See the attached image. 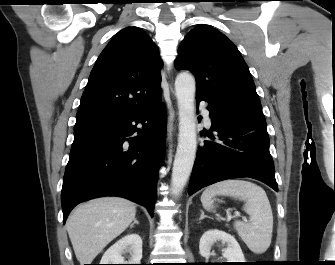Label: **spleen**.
Wrapping results in <instances>:
<instances>
[{"label": "spleen", "instance_id": "spleen-1", "mask_svg": "<svg viewBox=\"0 0 335 265\" xmlns=\"http://www.w3.org/2000/svg\"><path fill=\"white\" fill-rule=\"evenodd\" d=\"M230 196L245 202L244 211L250 216V223L235 222L238 235L255 254L264 253L271 244L273 231V214L266 192L245 180H225L209 186L201 195V202L206 210L214 208L213 197Z\"/></svg>", "mask_w": 335, "mask_h": 265}]
</instances>
